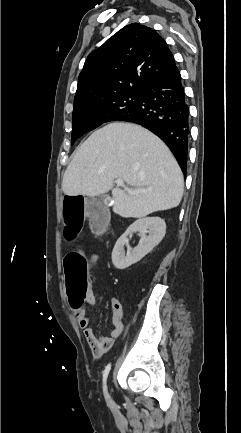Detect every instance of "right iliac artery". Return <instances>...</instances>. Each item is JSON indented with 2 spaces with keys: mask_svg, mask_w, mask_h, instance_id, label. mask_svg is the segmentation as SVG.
<instances>
[{
  "mask_svg": "<svg viewBox=\"0 0 241 433\" xmlns=\"http://www.w3.org/2000/svg\"><path fill=\"white\" fill-rule=\"evenodd\" d=\"M110 368H111V363H109V364L105 367V370L103 371V390H104V393H105V397H106V398H109V395H108V393H107V388H106V380H107V377H108V374H109Z\"/></svg>",
  "mask_w": 241,
  "mask_h": 433,
  "instance_id": "obj_1",
  "label": "right iliac artery"
}]
</instances>
